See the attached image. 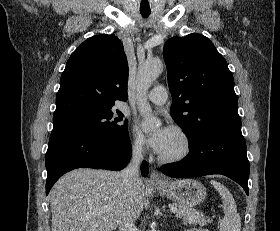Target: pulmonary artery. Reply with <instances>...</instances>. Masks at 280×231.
<instances>
[{"mask_svg": "<svg viewBox=\"0 0 280 231\" xmlns=\"http://www.w3.org/2000/svg\"><path fill=\"white\" fill-rule=\"evenodd\" d=\"M146 99L156 105H164L168 99L167 90L164 86H157L150 91Z\"/></svg>", "mask_w": 280, "mask_h": 231, "instance_id": "e3ab8cb5", "label": "pulmonary artery"}]
</instances>
